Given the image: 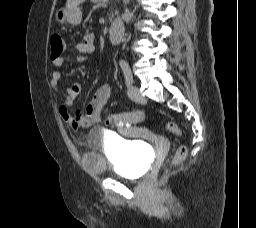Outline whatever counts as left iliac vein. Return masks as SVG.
<instances>
[{
  "label": "left iliac vein",
  "instance_id": "left-iliac-vein-1",
  "mask_svg": "<svg viewBox=\"0 0 256 228\" xmlns=\"http://www.w3.org/2000/svg\"><path fill=\"white\" fill-rule=\"evenodd\" d=\"M128 96L137 103L145 102V98L142 96L139 88L135 85H130L128 87Z\"/></svg>",
  "mask_w": 256,
  "mask_h": 228
}]
</instances>
